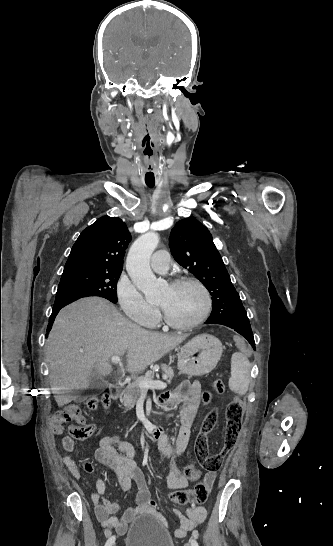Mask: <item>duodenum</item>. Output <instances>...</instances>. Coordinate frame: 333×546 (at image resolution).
<instances>
[{"instance_id":"410a0bca","label":"duodenum","mask_w":333,"mask_h":546,"mask_svg":"<svg viewBox=\"0 0 333 546\" xmlns=\"http://www.w3.org/2000/svg\"><path fill=\"white\" fill-rule=\"evenodd\" d=\"M119 387L115 384H111L109 386V397L112 399V400H116L118 399L119 397ZM162 433V430L160 427H157V428H154L152 431H148L147 432V436L151 439V440H157L159 438V436L161 435Z\"/></svg>"}]
</instances>
